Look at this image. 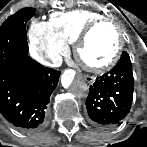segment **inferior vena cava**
I'll return each instance as SVG.
<instances>
[{"label": "inferior vena cava", "mask_w": 147, "mask_h": 147, "mask_svg": "<svg viewBox=\"0 0 147 147\" xmlns=\"http://www.w3.org/2000/svg\"><path fill=\"white\" fill-rule=\"evenodd\" d=\"M62 64V58L60 57L55 63L51 64L52 67H59Z\"/></svg>", "instance_id": "1"}]
</instances>
